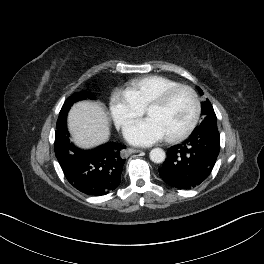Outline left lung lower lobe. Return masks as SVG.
Listing matches in <instances>:
<instances>
[{"label":"left lung lower lobe","instance_id":"1","mask_svg":"<svg viewBox=\"0 0 264 264\" xmlns=\"http://www.w3.org/2000/svg\"><path fill=\"white\" fill-rule=\"evenodd\" d=\"M220 150L217 124L195 128L183 143L172 146L159 169L162 179L178 189H192L211 173Z\"/></svg>","mask_w":264,"mask_h":264}]
</instances>
